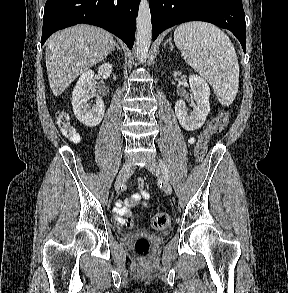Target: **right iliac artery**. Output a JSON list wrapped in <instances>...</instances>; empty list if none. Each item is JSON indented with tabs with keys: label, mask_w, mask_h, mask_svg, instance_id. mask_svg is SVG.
I'll list each match as a JSON object with an SVG mask.
<instances>
[{
	"label": "right iliac artery",
	"mask_w": 288,
	"mask_h": 293,
	"mask_svg": "<svg viewBox=\"0 0 288 293\" xmlns=\"http://www.w3.org/2000/svg\"><path fill=\"white\" fill-rule=\"evenodd\" d=\"M123 163H124V164H129V163H130V160H129V159H124V160H123Z\"/></svg>",
	"instance_id": "obj_1"
}]
</instances>
